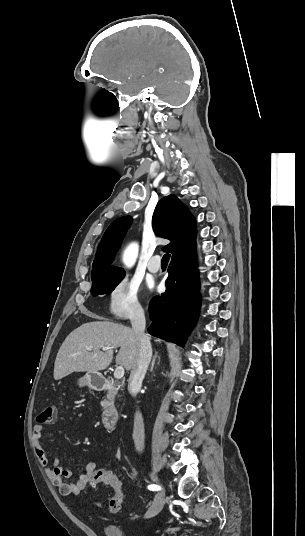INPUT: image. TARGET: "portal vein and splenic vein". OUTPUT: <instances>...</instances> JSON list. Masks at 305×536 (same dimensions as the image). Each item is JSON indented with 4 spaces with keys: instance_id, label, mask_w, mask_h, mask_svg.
<instances>
[{
    "instance_id": "18ae733b",
    "label": "portal vein and splenic vein",
    "mask_w": 305,
    "mask_h": 536,
    "mask_svg": "<svg viewBox=\"0 0 305 536\" xmlns=\"http://www.w3.org/2000/svg\"><path fill=\"white\" fill-rule=\"evenodd\" d=\"M85 350H92V348H85ZM102 350H108V348H102ZM124 376V368L122 366H118L114 372V378H117V380H121Z\"/></svg>"
}]
</instances>
